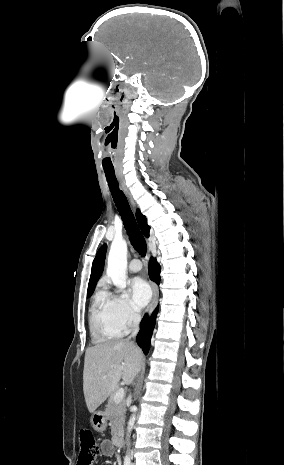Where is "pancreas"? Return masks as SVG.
Wrapping results in <instances>:
<instances>
[{"instance_id":"pancreas-1","label":"pancreas","mask_w":284,"mask_h":465,"mask_svg":"<svg viewBox=\"0 0 284 465\" xmlns=\"http://www.w3.org/2000/svg\"><path fill=\"white\" fill-rule=\"evenodd\" d=\"M115 393H111L110 399H108L107 409L104 413L106 419L111 423V435L112 441H115L117 435H119L124 423H125V401L116 405L114 401Z\"/></svg>"}]
</instances>
